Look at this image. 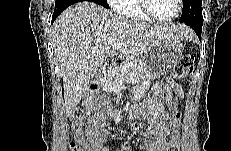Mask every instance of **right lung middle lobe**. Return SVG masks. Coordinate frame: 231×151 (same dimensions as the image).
Wrapping results in <instances>:
<instances>
[{"mask_svg":"<svg viewBox=\"0 0 231 151\" xmlns=\"http://www.w3.org/2000/svg\"><path fill=\"white\" fill-rule=\"evenodd\" d=\"M97 4L104 6L105 8H108V4L106 0H95Z\"/></svg>","mask_w":231,"mask_h":151,"instance_id":"obj_1","label":"right lung middle lobe"}]
</instances>
